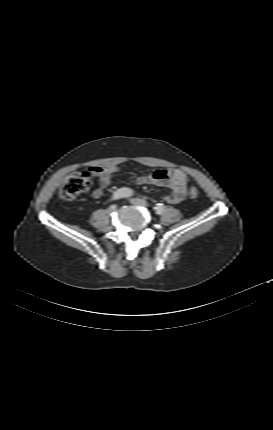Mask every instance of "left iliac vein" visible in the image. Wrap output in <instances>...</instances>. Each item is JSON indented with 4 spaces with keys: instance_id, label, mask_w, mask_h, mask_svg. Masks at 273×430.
<instances>
[{
    "instance_id": "1",
    "label": "left iliac vein",
    "mask_w": 273,
    "mask_h": 430,
    "mask_svg": "<svg viewBox=\"0 0 273 430\" xmlns=\"http://www.w3.org/2000/svg\"><path fill=\"white\" fill-rule=\"evenodd\" d=\"M130 203L137 206L148 207V203L145 200L139 198L130 199Z\"/></svg>"
}]
</instances>
